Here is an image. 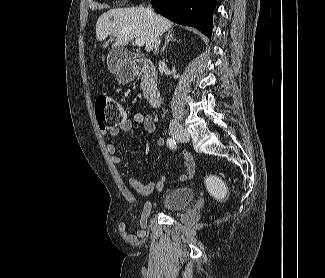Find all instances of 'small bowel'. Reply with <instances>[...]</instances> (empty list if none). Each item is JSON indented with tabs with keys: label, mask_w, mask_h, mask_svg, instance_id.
<instances>
[{
	"label": "small bowel",
	"mask_w": 325,
	"mask_h": 278,
	"mask_svg": "<svg viewBox=\"0 0 325 278\" xmlns=\"http://www.w3.org/2000/svg\"><path fill=\"white\" fill-rule=\"evenodd\" d=\"M134 123L142 124L146 132L149 134H153L155 132L156 125L153 117L148 113L138 112L134 115L133 120L127 119L124 121V123H122L117 128L111 129L109 131L103 130L102 134L116 137L123 133H129L133 129ZM164 145H165V140L163 138H159L157 140V146L163 147ZM107 152L110 154L111 160L114 164L121 163V157L118 154V147L116 144L114 143L107 144ZM183 159H184L186 172L177 177H174L170 181L171 183L183 182L193 177L195 172V166L190 153L183 152ZM129 183L134 189L138 190L139 192L144 194H149L153 190L162 191V189L167 183V178L166 176L161 175L156 181L151 182L147 185H143L136 178H131Z\"/></svg>",
	"instance_id": "c3829d8e"
}]
</instances>
